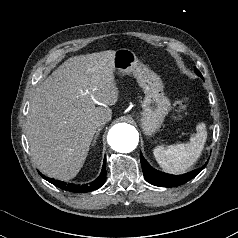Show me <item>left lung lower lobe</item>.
Returning <instances> with one entry per match:
<instances>
[{
	"mask_svg": "<svg viewBox=\"0 0 238 238\" xmlns=\"http://www.w3.org/2000/svg\"><path fill=\"white\" fill-rule=\"evenodd\" d=\"M140 160L142 164L144 178L151 184L160 187H176L182 184H185L192 178H194L197 174H199L205 166L194 170L192 172L186 173L184 175H170L164 172L157 171L152 168L144 159L142 154H140Z\"/></svg>",
	"mask_w": 238,
	"mask_h": 238,
	"instance_id": "1",
	"label": "left lung lower lobe"
}]
</instances>
